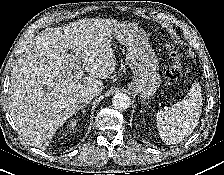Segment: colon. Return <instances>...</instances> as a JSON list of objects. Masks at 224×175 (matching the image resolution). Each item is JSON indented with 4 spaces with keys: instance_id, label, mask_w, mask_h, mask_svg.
I'll list each match as a JSON object with an SVG mask.
<instances>
[{
    "instance_id": "colon-1",
    "label": "colon",
    "mask_w": 224,
    "mask_h": 175,
    "mask_svg": "<svg viewBox=\"0 0 224 175\" xmlns=\"http://www.w3.org/2000/svg\"><path fill=\"white\" fill-rule=\"evenodd\" d=\"M171 57V65L166 70V77L171 82H179L183 78V69L181 67L182 52L176 49L172 44H168Z\"/></svg>"
}]
</instances>
